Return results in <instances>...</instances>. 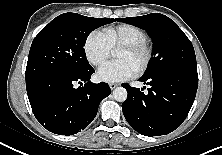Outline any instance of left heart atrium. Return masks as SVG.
<instances>
[{"instance_id":"obj_1","label":"left heart atrium","mask_w":222,"mask_h":155,"mask_svg":"<svg viewBox=\"0 0 222 155\" xmlns=\"http://www.w3.org/2000/svg\"><path fill=\"white\" fill-rule=\"evenodd\" d=\"M135 69L125 61L108 62L97 72L99 80L115 83L130 79L135 75Z\"/></svg>"}]
</instances>
